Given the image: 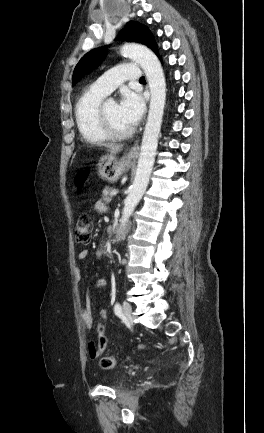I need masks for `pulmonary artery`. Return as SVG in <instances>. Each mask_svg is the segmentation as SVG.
<instances>
[{
    "label": "pulmonary artery",
    "mask_w": 264,
    "mask_h": 433,
    "mask_svg": "<svg viewBox=\"0 0 264 433\" xmlns=\"http://www.w3.org/2000/svg\"><path fill=\"white\" fill-rule=\"evenodd\" d=\"M140 69L136 64L123 63L113 67L96 79L91 88L104 95L113 92L120 84L127 80H139Z\"/></svg>",
    "instance_id": "obj_1"
}]
</instances>
